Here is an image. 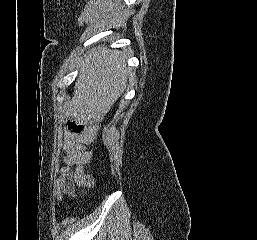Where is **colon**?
Masks as SVG:
<instances>
[{
	"label": "colon",
	"mask_w": 257,
	"mask_h": 240,
	"mask_svg": "<svg viewBox=\"0 0 257 240\" xmlns=\"http://www.w3.org/2000/svg\"><path fill=\"white\" fill-rule=\"evenodd\" d=\"M68 127L71 132L77 133V134L83 133L85 131V126L76 121H69Z\"/></svg>",
	"instance_id": "1"
}]
</instances>
